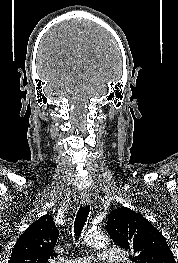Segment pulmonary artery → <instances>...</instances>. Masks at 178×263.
I'll return each mask as SVG.
<instances>
[{"label": "pulmonary artery", "mask_w": 178, "mask_h": 263, "mask_svg": "<svg viewBox=\"0 0 178 263\" xmlns=\"http://www.w3.org/2000/svg\"><path fill=\"white\" fill-rule=\"evenodd\" d=\"M102 259L109 262H122L125 260V253L117 248H110L105 250L101 255ZM88 257H79L71 260H67L66 263H89Z\"/></svg>", "instance_id": "pulmonary-artery-1"}]
</instances>
